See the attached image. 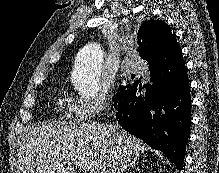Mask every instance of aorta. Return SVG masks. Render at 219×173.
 Wrapping results in <instances>:
<instances>
[{
  "mask_svg": "<svg viewBox=\"0 0 219 173\" xmlns=\"http://www.w3.org/2000/svg\"><path fill=\"white\" fill-rule=\"evenodd\" d=\"M102 63L103 51L98 43H89L80 50L74 80V86L79 94L86 97L97 95Z\"/></svg>",
  "mask_w": 219,
  "mask_h": 173,
  "instance_id": "obj_1",
  "label": "aorta"
}]
</instances>
